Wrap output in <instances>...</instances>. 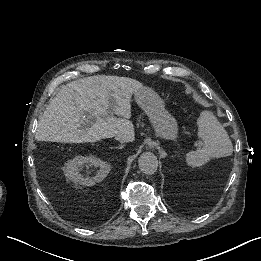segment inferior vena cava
Segmentation results:
<instances>
[{
    "instance_id": "1",
    "label": "inferior vena cava",
    "mask_w": 261,
    "mask_h": 261,
    "mask_svg": "<svg viewBox=\"0 0 261 261\" xmlns=\"http://www.w3.org/2000/svg\"><path fill=\"white\" fill-rule=\"evenodd\" d=\"M118 140L120 142H127V138H125V137H119Z\"/></svg>"
}]
</instances>
